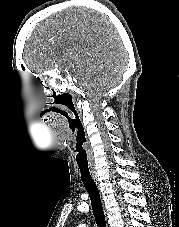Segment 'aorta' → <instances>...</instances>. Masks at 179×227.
<instances>
[{
	"mask_svg": "<svg viewBox=\"0 0 179 227\" xmlns=\"http://www.w3.org/2000/svg\"><path fill=\"white\" fill-rule=\"evenodd\" d=\"M78 227H86V225L85 224H80V225H78Z\"/></svg>",
	"mask_w": 179,
	"mask_h": 227,
	"instance_id": "762f6f07",
	"label": "aorta"
}]
</instances>
